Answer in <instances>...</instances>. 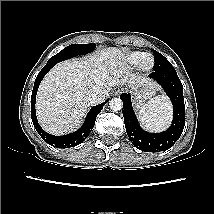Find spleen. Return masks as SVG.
Here are the masks:
<instances>
[{
    "instance_id": "1",
    "label": "spleen",
    "mask_w": 214,
    "mask_h": 214,
    "mask_svg": "<svg viewBox=\"0 0 214 214\" xmlns=\"http://www.w3.org/2000/svg\"><path fill=\"white\" fill-rule=\"evenodd\" d=\"M171 118V106L165 96L149 100L139 111V120L149 130L165 128Z\"/></svg>"
}]
</instances>
